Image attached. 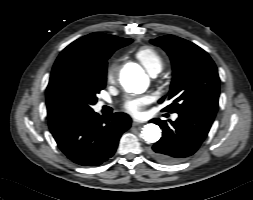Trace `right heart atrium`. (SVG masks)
I'll return each mask as SVG.
<instances>
[{
    "instance_id": "d8ad5b80",
    "label": "right heart atrium",
    "mask_w": 253,
    "mask_h": 200,
    "mask_svg": "<svg viewBox=\"0 0 253 200\" xmlns=\"http://www.w3.org/2000/svg\"><path fill=\"white\" fill-rule=\"evenodd\" d=\"M114 73H115V66L114 65H110L108 67L107 73H106L107 79L108 80H112L113 77H114Z\"/></svg>"
}]
</instances>
